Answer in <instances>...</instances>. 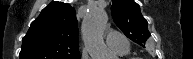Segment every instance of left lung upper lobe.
<instances>
[{
  "instance_id": "obj_1",
  "label": "left lung upper lobe",
  "mask_w": 193,
  "mask_h": 59,
  "mask_svg": "<svg viewBox=\"0 0 193 59\" xmlns=\"http://www.w3.org/2000/svg\"><path fill=\"white\" fill-rule=\"evenodd\" d=\"M111 11L114 22L122 32L135 43L145 47V42L151 34L140 6L133 0H112Z\"/></svg>"
}]
</instances>
